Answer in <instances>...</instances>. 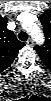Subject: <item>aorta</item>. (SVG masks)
Returning a JSON list of instances; mask_svg holds the SVG:
<instances>
[{
    "label": "aorta",
    "instance_id": "aorta-1",
    "mask_svg": "<svg viewBox=\"0 0 51 101\" xmlns=\"http://www.w3.org/2000/svg\"><path fill=\"white\" fill-rule=\"evenodd\" d=\"M30 35L32 36V38L37 42V43H43L44 41V36L43 33L41 32V30H39L38 27L34 26L31 28H28Z\"/></svg>",
    "mask_w": 51,
    "mask_h": 101
}]
</instances>
